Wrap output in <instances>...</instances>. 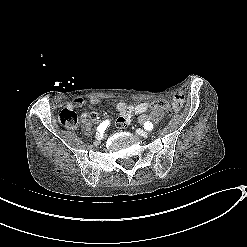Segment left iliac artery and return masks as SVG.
I'll use <instances>...</instances> for the list:
<instances>
[{"instance_id": "left-iliac-artery-1", "label": "left iliac artery", "mask_w": 247, "mask_h": 247, "mask_svg": "<svg viewBox=\"0 0 247 247\" xmlns=\"http://www.w3.org/2000/svg\"><path fill=\"white\" fill-rule=\"evenodd\" d=\"M144 129L146 130H152L153 129V124L150 121H147L143 125Z\"/></svg>"}]
</instances>
